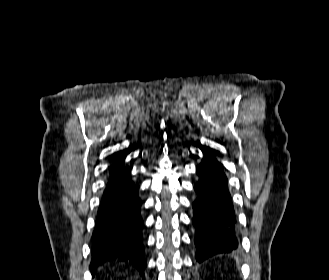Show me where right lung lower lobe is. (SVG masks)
<instances>
[{
    "instance_id": "obj_1",
    "label": "right lung lower lobe",
    "mask_w": 329,
    "mask_h": 280,
    "mask_svg": "<svg viewBox=\"0 0 329 280\" xmlns=\"http://www.w3.org/2000/svg\"><path fill=\"white\" fill-rule=\"evenodd\" d=\"M122 160L110 167V179L98 211L96 228L92 236L90 270L95 274L106 261L118 260L136 267L145 279L146 261L143 254L140 216L142 205L138 186L131 181L130 173Z\"/></svg>"
}]
</instances>
